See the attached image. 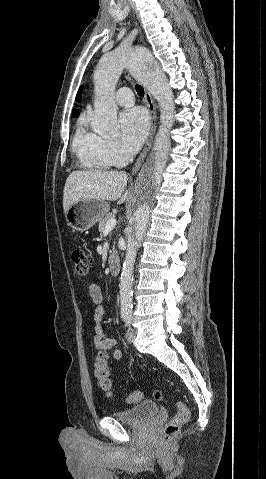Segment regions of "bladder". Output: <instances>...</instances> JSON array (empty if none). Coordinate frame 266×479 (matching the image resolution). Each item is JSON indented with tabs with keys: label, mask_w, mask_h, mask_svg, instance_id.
<instances>
[{
	"label": "bladder",
	"mask_w": 266,
	"mask_h": 479,
	"mask_svg": "<svg viewBox=\"0 0 266 479\" xmlns=\"http://www.w3.org/2000/svg\"><path fill=\"white\" fill-rule=\"evenodd\" d=\"M159 407L154 401L146 400L129 409L113 412L112 416L126 424H143L158 414Z\"/></svg>",
	"instance_id": "bladder-1"
}]
</instances>
